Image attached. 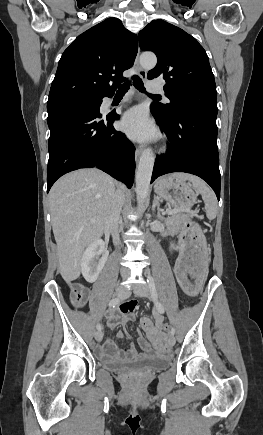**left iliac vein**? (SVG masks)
Wrapping results in <instances>:
<instances>
[{
  "label": "left iliac vein",
  "instance_id": "left-iliac-vein-1",
  "mask_svg": "<svg viewBox=\"0 0 263 435\" xmlns=\"http://www.w3.org/2000/svg\"><path fill=\"white\" fill-rule=\"evenodd\" d=\"M135 293L141 297H150V288L147 284H143L140 287L135 289ZM175 342H176V340H175L174 335H170L168 338V344L170 346H174Z\"/></svg>",
  "mask_w": 263,
  "mask_h": 435
}]
</instances>
